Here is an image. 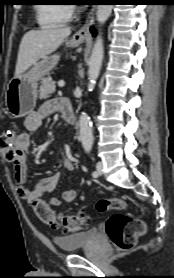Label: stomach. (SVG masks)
<instances>
[{"label":"stomach","mask_w":174,"mask_h":278,"mask_svg":"<svg viewBox=\"0 0 174 278\" xmlns=\"http://www.w3.org/2000/svg\"><path fill=\"white\" fill-rule=\"evenodd\" d=\"M85 36L74 35L64 41L66 47H78ZM60 54L41 58L24 73L15 76L7 85L5 94L6 109L13 118H21L30 114L35 106L38 95V82L56 67Z\"/></svg>","instance_id":"obj_1"}]
</instances>
